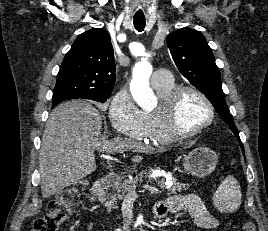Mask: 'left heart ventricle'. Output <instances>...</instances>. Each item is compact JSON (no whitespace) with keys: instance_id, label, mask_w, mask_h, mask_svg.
I'll return each mask as SVG.
<instances>
[{"instance_id":"obj_1","label":"left heart ventricle","mask_w":268,"mask_h":231,"mask_svg":"<svg viewBox=\"0 0 268 231\" xmlns=\"http://www.w3.org/2000/svg\"><path fill=\"white\" fill-rule=\"evenodd\" d=\"M207 118L208 109L203 100L192 92L182 95L177 106V123L180 130L191 131Z\"/></svg>"}]
</instances>
